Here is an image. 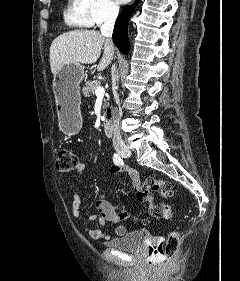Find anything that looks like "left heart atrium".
Here are the masks:
<instances>
[{
  "label": "left heart atrium",
  "mask_w": 240,
  "mask_h": 281,
  "mask_svg": "<svg viewBox=\"0 0 240 281\" xmlns=\"http://www.w3.org/2000/svg\"><path fill=\"white\" fill-rule=\"evenodd\" d=\"M128 1H130V0H117L118 3H126Z\"/></svg>",
  "instance_id": "obj_1"
}]
</instances>
